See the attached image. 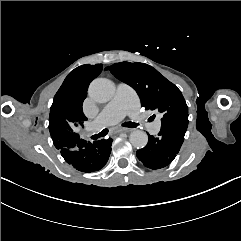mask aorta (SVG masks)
<instances>
[{"label": "aorta", "mask_w": 241, "mask_h": 241, "mask_svg": "<svg viewBox=\"0 0 241 241\" xmlns=\"http://www.w3.org/2000/svg\"><path fill=\"white\" fill-rule=\"evenodd\" d=\"M89 96L96 102H107L115 93L114 83L106 78H97L89 86ZM130 143L135 148H143L148 143V135L141 130H134L129 137Z\"/></svg>", "instance_id": "762f6f07"}]
</instances>
